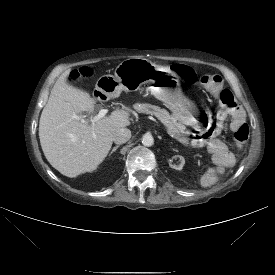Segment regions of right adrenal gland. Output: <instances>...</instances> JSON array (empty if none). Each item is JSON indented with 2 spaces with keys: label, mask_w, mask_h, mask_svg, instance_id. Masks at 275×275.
<instances>
[{
  "label": "right adrenal gland",
  "mask_w": 275,
  "mask_h": 275,
  "mask_svg": "<svg viewBox=\"0 0 275 275\" xmlns=\"http://www.w3.org/2000/svg\"><path fill=\"white\" fill-rule=\"evenodd\" d=\"M119 147H120V145H116L115 147H113V149L111 150L109 156H111V154H112L113 152H115Z\"/></svg>",
  "instance_id": "obj_1"
}]
</instances>
